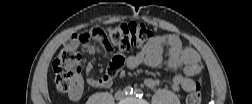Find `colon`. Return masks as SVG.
I'll list each match as a JSON object with an SVG mask.
<instances>
[{"label": "colon", "instance_id": "5ec220e1", "mask_svg": "<svg viewBox=\"0 0 252 104\" xmlns=\"http://www.w3.org/2000/svg\"><path fill=\"white\" fill-rule=\"evenodd\" d=\"M153 34L143 23L130 22L104 29L93 27L82 30L73 36L61 49L53 62L55 83L59 91L77 95L82 91V67L85 55L92 53V43L99 44L108 52H127L140 47L152 38ZM123 56L117 54L110 64L107 74L115 77L123 64ZM201 101V86L195 81L187 95V102L198 104Z\"/></svg>", "mask_w": 252, "mask_h": 104}]
</instances>
